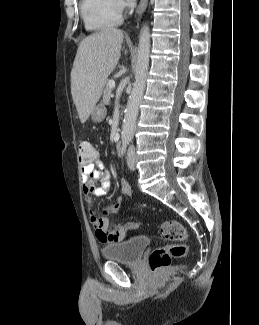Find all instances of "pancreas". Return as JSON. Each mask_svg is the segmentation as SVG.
<instances>
[{"instance_id":"obj_1","label":"pancreas","mask_w":259,"mask_h":325,"mask_svg":"<svg viewBox=\"0 0 259 325\" xmlns=\"http://www.w3.org/2000/svg\"><path fill=\"white\" fill-rule=\"evenodd\" d=\"M111 80L107 81L104 92H103V103L108 105L110 102V98L112 96V88L110 87L109 83Z\"/></svg>"}]
</instances>
